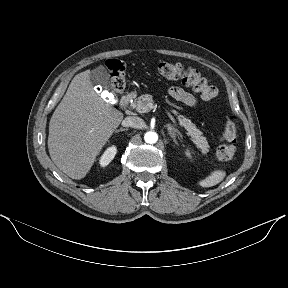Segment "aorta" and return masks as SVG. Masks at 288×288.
<instances>
[{
    "label": "aorta",
    "instance_id": "aorta-1",
    "mask_svg": "<svg viewBox=\"0 0 288 288\" xmlns=\"http://www.w3.org/2000/svg\"><path fill=\"white\" fill-rule=\"evenodd\" d=\"M144 140L146 143H149V144H154L157 142L158 140V135L156 132H153V131H148L147 133H145L144 135Z\"/></svg>",
    "mask_w": 288,
    "mask_h": 288
}]
</instances>
